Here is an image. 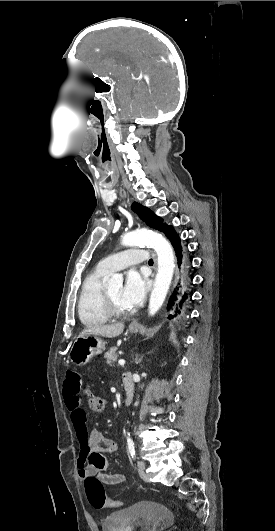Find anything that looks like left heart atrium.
Here are the masks:
<instances>
[{
    "label": "left heart atrium",
    "instance_id": "obj_1",
    "mask_svg": "<svg viewBox=\"0 0 275 531\" xmlns=\"http://www.w3.org/2000/svg\"><path fill=\"white\" fill-rule=\"evenodd\" d=\"M147 276L143 271L130 269L125 274L121 300L129 308L138 307L146 293Z\"/></svg>",
    "mask_w": 275,
    "mask_h": 531
}]
</instances>
